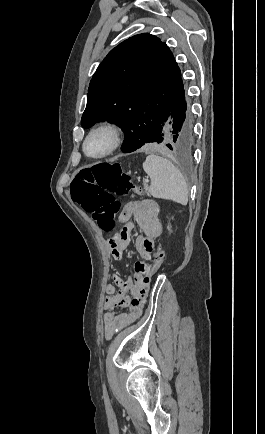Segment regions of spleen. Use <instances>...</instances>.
I'll return each mask as SVG.
<instances>
[{
	"instance_id": "obj_1",
	"label": "spleen",
	"mask_w": 265,
	"mask_h": 434,
	"mask_svg": "<svg viewBox=\"0 0 265 434\" xmlns=\"http://www.w3.org/2000/svg\"><path fill=\"white\" fill-rule=\"evenodd\" d=\"M143 170L151 180L149 194L153 198L173 200L177 204L186 206L188 202L187 184L178 168L157 154L147 156Z\"/></svg>"
}]
</instances>
